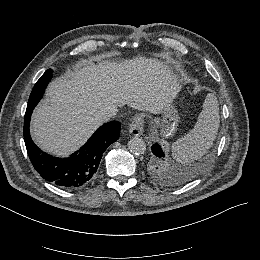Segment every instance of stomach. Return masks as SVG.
<instances>
[{
	"label": "stomach",
	"mask_w": 260,
	"mask_h": 260,
	"mask_svg": "<svg viewBox=\"0 0 260 260\" xmlns=\"http://www.w3.org/2000/svg\"><path fill=\"white\" fill-rule=\"evenodd\" d=\"M161 115L163 116V119H156L154 125L160 126L161 133L164 137L173 136L179 123V116L173 104L165 105Z\"/></svg>",
	"instance_id": "0dacf381"
}]
</instances>
